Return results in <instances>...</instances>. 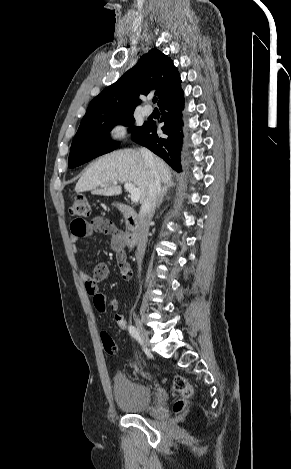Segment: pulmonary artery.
Wrapping results in <instances>:
<instances>
[{
	"instance_id": "pulmonary-artery-1",
	"label": "pulmonary artery",
	"mask_w": 291,
	"mask_h": 469,
	"mask_svg": "<svg viewBox=\"0 0 291 469\" xmlns=\"http://www.w3.org/2000/svg\"><path fill=\"white\" fill-rule=\"evenodd\" d=\"M152 112H153V110H152L151 106L146 105V106L143 107V113L145 115H150V114H152Z\"/></svg>"
}]
</instances>
